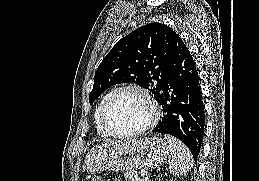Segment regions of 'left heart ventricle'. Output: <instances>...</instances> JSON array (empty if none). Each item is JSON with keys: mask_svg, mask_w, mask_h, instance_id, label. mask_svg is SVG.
I'll use <instances>...</instances> for the list:
<instances>
[{"mask_svg": "<svg viewBox=\"0 0 259 181\" xmlns=\"http://www.w3.org/2000/svg\"><path fill=\"white\" fill-rule=\"evenodd\" d=\"M150 116L146 100L135 91H125L113 100L108 111V123L116 132L126 133L142 128Z\"/></svg>", "mask_w": 259, "mask_h": 181, "instance_id": "left-heart-ventricle-1", "label": "left heart ventricle"}]
</instances>
